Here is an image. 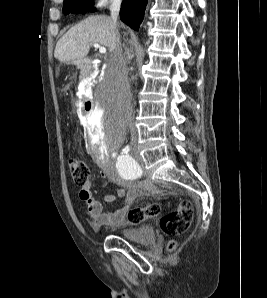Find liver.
Returning a JSON list of instances; mask_svg holds the SVG:
<instances>
[{"label":"liver","instance_id":"obj_1","mask_svg":"<svg viewBox=\"0 0 267 298\" xmlns=\"http://www.w3.org/2000/svg\"><path fill=\"white\" fill-rule=\"evenodd\" d=\"M118 33L111 18L105 15L91 16L70 28L57 42L54 57L60 62H79L90 47L99 43L113 51Z\"/></svg>","mask_w":267,"mask_h":298}]
</instances>
